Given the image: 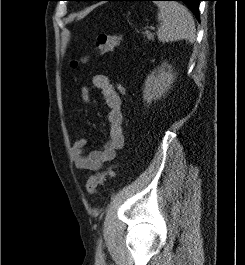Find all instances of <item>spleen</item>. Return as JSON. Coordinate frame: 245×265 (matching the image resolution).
I'll return each mask as SVG.
<instances>
[{"mask_svg":"<svg viewBox=\"0 0 245 265\" xmlns=\"http://www.w3.org/2000/svg\"><path fill=\"white\" fill-rule=\"evenodd\" d=\"M158 9V20L161 25L157 36L161 42L178 40H195V23L191 13L182 4L174 1L154 2Z\"/></svg>","mask_w":245,"mask_h":265,"instance_id":"spleen-1","label":"spleen"}]
</instances>
